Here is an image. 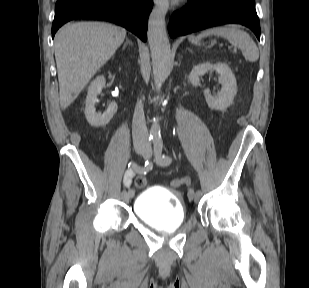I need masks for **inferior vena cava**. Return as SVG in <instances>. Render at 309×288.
<instances>
[{
	"label": "inferior vena cava",
	"instance_id": "obj_1",
	"mask_svg": "<svg viewBox=\"0 0 309 288\" xmlns=\"http://www.w3.org/2000/svg\"><path fill=\"white\" fill-rule=\"evenodd\" d=\"M132 134H133V142L135 145L139 144L147 145L149 135L146 129L142 101H138L135 107L132 122Z\"/></svg>",
	"mask_w": 309,
	"mask_h": 288
}]
</instances>
